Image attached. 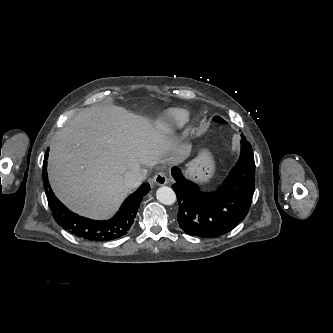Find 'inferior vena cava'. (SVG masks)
<instances>
[{
    "mask_svg": "<svg viewBox=\"0 0 333 333\" xmlns=\"http://www.w3.org/2000/svg\"><path fill=\"white\" fill-rule=\"evenodd\" d=\"M143 178L144 175L141 169L139 167H136L125 172L123 176V181L125 186H127L128 188H135L141 184Z\"/></svg>",
    "mask_w": 333,
    "mask_h": 333,
    "instance_id": "602c4592",
    "label": "inferior vena cava"
}]
</instances>
